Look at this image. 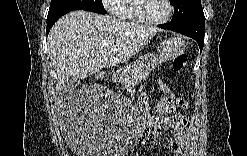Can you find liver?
<instances>
[{"label": "liver", "mask_w": 247, "mask_h": 156, "mask_svg": "<svg viewBox=\"0 0 247 156\" xmlns=\"http://www.w3.org/2000/svg\"><path fill=\"white\" fill-rule=\"evenodd\" d=\"M159 31L108 15L74 11L50 30L47 51L57 73L56 91L70 77L84 79L102 68L124 63Z\"/></svg>", "instance_id": "6515ba94"}]
</instances>
